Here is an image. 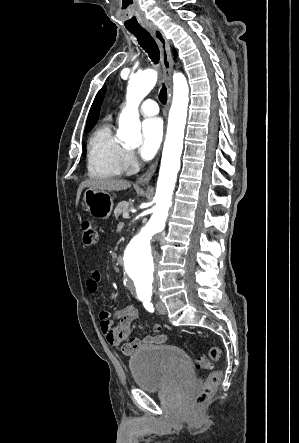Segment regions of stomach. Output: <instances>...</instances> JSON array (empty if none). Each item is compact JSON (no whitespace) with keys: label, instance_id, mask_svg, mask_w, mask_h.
<instances>
[{"label":"stomach","instance_id":"obj_1","mask_svg":"<svg viewBox=\"0 0 299 443\" xmlns=\"http://www.w3.org/2000/svg\"><path fill=\"white\" fill-rule=\"evenodd\" d=\"M86 209L97 218L107 219L113 210V197L106 191L87 188L83 195Z\"/></svg>","mask_w":299,"mask_h":443}]
</instances>
